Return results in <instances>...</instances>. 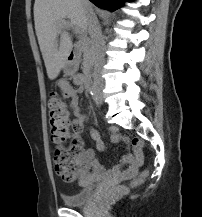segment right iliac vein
Returning <instances> with one entry per match:
<instances>
[{
  "label": "right iliac vein",
  "instance_id": "right-iliac-vein-1",
  "mask_svg": "<svg viewBox=\"0 0 202 217\" xmlns=\"http://www.w3.org/2000/svg\"><path fill=\"white\" fill-rule=\"evenodd\" d=\"M97 99L100 100V101H102L101 95H97Z\"/></svg>",
  "mask_w": 202,
  "mask_h": 217
}]
</instances>
